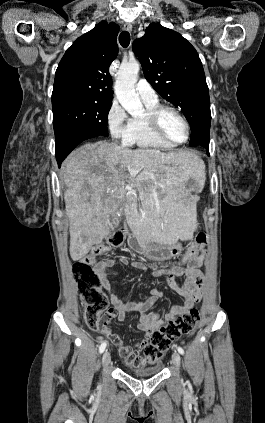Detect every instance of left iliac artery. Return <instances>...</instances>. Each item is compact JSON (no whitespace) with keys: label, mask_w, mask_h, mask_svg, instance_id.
Masks as SVG:
<instances>
[{"label":"left iliac artery","mask_w":265,"mask_h":423,"mask_svg":"<svg viewBox=\"0 0 265 423\" xmlns=\"http://www.w3.org/2000/svg\"><path fill=\"white\" fill-rule=\"evenodd\" d=\"M177 350H178V352H179L181 355H183V354H184V350H183V348H182V347H178V348H177Z\"/></svg>","instance_id":"left-iliac-artery-1"}]
</instances>
